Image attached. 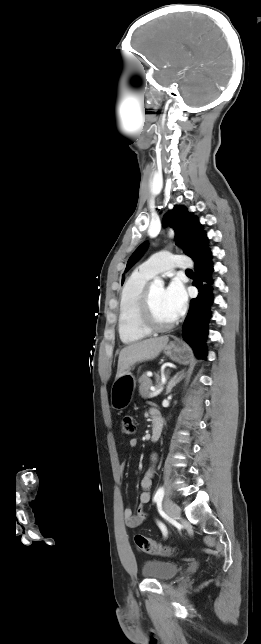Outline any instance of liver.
Here are the masks:
<instances>
[{"label": "liver", "mask_w": 261, "mask_h": 644, "mask_svg": "<svg viewBox=\"0 0 261 644\" xmlns=\"http://www.w3.org/2000/svg\"><path fill=\"white\" fill-rule=\"evenodd\" d=\"M168 341V336H161L136 342L124 347L119 354L115 379L124 375L130 366L135 363L155 359L167 345Z\"/></svg>", "instance_id": "1"}]
</instances>
